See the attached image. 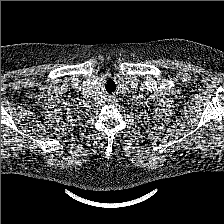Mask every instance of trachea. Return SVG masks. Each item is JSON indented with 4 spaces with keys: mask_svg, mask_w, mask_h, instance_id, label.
<instances>
[{
    "mask_svg": "<svg viewBox=\"0 0 224 224\" xmlns=\"http://www.w3.org/2000/svg\"><path fill=\"white\" fill-rule=\"evenodd\" d=\"M105 88L108 93L112 94L116 90V84L113 80H109L107 81Z\"/></svg>",
    "mask_w": 224,
    "mask_h": 224,
    "instance_id": "obj_1",
    "label": "trachea"
}]
</instances>
